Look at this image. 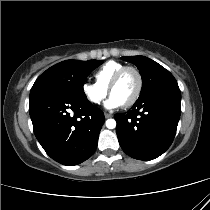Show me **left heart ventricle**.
<instances>
[{
    "instance_id": "obj_1",
    "label": "left heart ventricle",
    "mask_w": 210,
    "mask_h": 210,
    "mask_svg": "<svg viewBox=\"0 0 210 210\" xmlns=\"http://www.w3.org/2000/svg\"><path fill=\"white\" fill-rule=\"evenodd\" d=\"M137 87V75L133 71H127L112 90L111 95L116 96L124 104L134 96Z\"/></svg>"
}]
</instances>
